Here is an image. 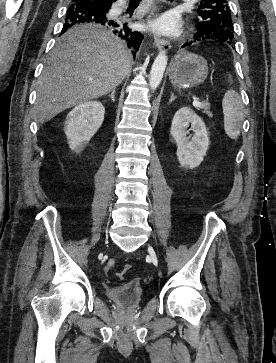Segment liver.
<instances>
[{
  "mask_svg": "<svg viewBox=\"0 0 276 363\" xmlns=\"http://www.w3.org/2000/svg\"><path fill=\"white\" fill-rule=\"evenodd\" d=\"M130 72L124 41L95 24L70 28L57 41L38 80L40 123L116 89Z\"/></svg>",
  "mask_w": 276,
  "mask_h": 363,
  "instance_id": "1",
  "label": "liver"
}]
</instances>
